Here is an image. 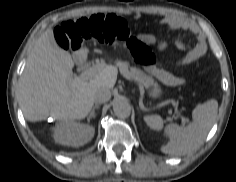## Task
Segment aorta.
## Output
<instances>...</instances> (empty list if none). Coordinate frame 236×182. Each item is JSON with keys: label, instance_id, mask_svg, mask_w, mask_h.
<instances>
[{"label": "aorta", "instance_id": "aorta-1", "mask_svg": "<svg viewBox=\"0 0 236 182\" xmlns=\"http://www.w3.org/2000/svg\"><path fill=\"white\" fill-rule=\"evenodd\" d=\"M113 111L119 118H127L131 114V105L125 99L117 100L113 105Z\"/></svg>", "mask_w": 236, "mask_h": 182}]
</instances>
